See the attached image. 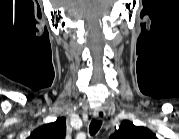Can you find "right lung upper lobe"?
Here are the masks:
<instances>
[{
    "label": "right lung upper lobe",
    "instance_id": "obj_1",
    "mask_svg": "<svg viewBox=\"0 0 179 139\" xmlns=\"http://www.w3.org/2000/svg\"><path fill=\"white\" fill-rule=\"evenodd\" d=\"M66 131V119H57L53 123L43 125L36 129L29 139H64Z\"/></svg>",
    "mask_w": 179,
    "mask_h": 139
}]
</instances>
